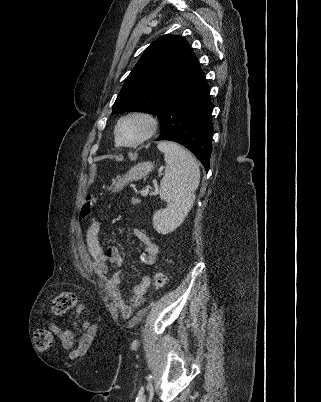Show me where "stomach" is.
Listing matches in <instances>:
<instances>
[{
	"instance_id": "1",
	"label": "stomach",
	"mask_w": 321,
	"mask_h": 402,
	"mask_svg": "<svg viewBox=\"0 0 321 402\" xmlns=\"http://www.w3.org/2000/svg\"><path fill=\"white\" fill-rule=\"evenodd\" d=\"M153 169V163L141 162L132 167L125 175L115 180L110 187L113 192L121 190L126 184L147 176Z\"/></svg>"
}]
</instances>
